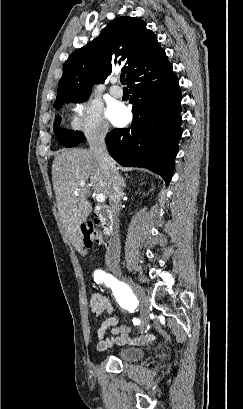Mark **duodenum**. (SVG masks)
Returning <instances> with one entry per match:
<instances>
[{
  "label": "duodenum",
  "instance_id": "obj_1",
  "mask_svg": "<svg viewBox=\"0 0 243 409\" xmlns=\"http://www.w3.org/2000/svg\"><path fill=\"white\" fill-rule=\"evenodd\" d=\"M95 212L99 217L104 233L109 235L112 232L114 224V217L111 208L107 205H97Z\"/></svg>",
  "mask_w": 243,
  "mask_h": 409
}]
</instances>
